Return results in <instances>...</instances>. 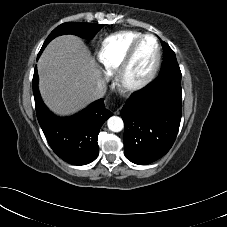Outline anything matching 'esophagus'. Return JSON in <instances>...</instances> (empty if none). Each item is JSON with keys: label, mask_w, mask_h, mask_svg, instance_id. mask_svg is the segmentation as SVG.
Returning a JSON list of instances; mask_svg holds the SVG:
<instances>
[{"label": "esophagus", "mask_w": 227, "mask_h": 227, "mask_svg": "<svg viewBox=\"0 0 227 227\" xmlns=\"http://www.w3.org/2000/svg\"><path fill=\"white\" fill-rule=\"evenodd\" d=\"M119 113H120L119 109L114 111V114H119Z\"/></svg>", "instance_id": "obj_1"}]
</instances>
